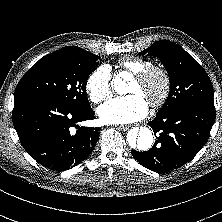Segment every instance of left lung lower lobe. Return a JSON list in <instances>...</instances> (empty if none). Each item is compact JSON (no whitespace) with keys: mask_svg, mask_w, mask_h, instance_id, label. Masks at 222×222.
I'll return each mask as SVG.
<instances>
[{"mask_svg":"<svg viewBox=\"0 0 222 222\" xmlns=\"http://www.w3.org/2000/svg\"><path fill=\"white\" fill-rule=\"evenodd\" d=\"M212 102H189L156 115L148 123L156 141L145 152L132 150L134 158L149 170L165 173L189 162L206 144L215 121Z\"/></svg>","mask_w":222,"mask_h":222,"instance_id":"obj_1","label":"left lung lower lobe"}]
</instances>
